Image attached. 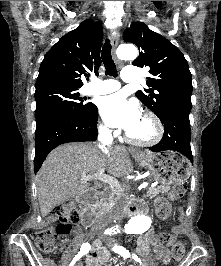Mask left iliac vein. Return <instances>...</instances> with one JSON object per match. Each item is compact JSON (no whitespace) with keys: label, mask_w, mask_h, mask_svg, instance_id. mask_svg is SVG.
<instances>
[{"label":"left iliac vein","mask_w":221,"mask_h":266,"mask_svg":"<svg viewBox=\"0 0 221 266\" xmlns=\"http://www.w3.org/2000/svg\"><path fill=\"white\" fill-rule=\"evenodd\" d=\"M110 243H114L113 241H109Z\"/></svg>","instance_id":"obj_1"}]
</instances>
